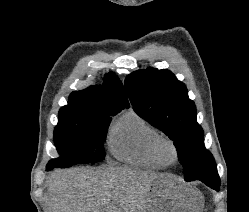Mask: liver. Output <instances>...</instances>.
Segmentation results:
<instances>
[{
	"label": "liver",
	"instance_id": "obj_1",
	"mask_svg": "<svg viewBox=\"0 0 249 212\" xmlns=\"http://www.w3.org/2000/svg\"><path fill=\"white\" fill-rule=\"evenodd\" d=\"M167 174L131 168H69L48 176L51 212H148L149 194L156 180Z\"/></svg>",
	"mask_w": 249,
	"mask_h": 212
}]
</instances>
